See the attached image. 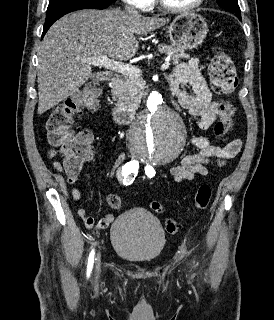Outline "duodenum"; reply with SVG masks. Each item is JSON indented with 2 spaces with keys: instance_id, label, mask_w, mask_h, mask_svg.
Instances as JSON below:
<instances>
[{
  "instance_id": "1",
  "label": "duodenum",
  "mask_w": 274,
  "mask_h": 320,
  "mask_svg": "<svg viewBox=\"0 0 274 320\" xmlns=\"http://www.w3.org/2000/svg\"><path fill=\"white\" fill-rule=\"evenodd\" d=\"M120 85L119 76H112L108 79V86L110 89L114 90ZM112 115L114 120L119 124H129L132 122L135 111L126 107L115 106L112 108Z\"/></svg>"
}]
</instances>
